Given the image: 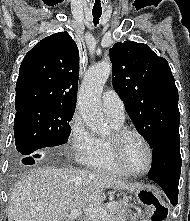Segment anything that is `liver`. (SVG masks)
Segmentation results:
<instances>
[{"label": "liver", "instance_id": "obj_1", "mask_svg": "<svg viewBox=\"0 0 190 221\" xmlns=\"http://www.w3.org/2000/svg\"><path fill=\"white\" fill-rule=\"evenodd\" d=\"M116 176L57 167L34 168L20 178L9 197L8 221H72L71 210L101 207L105 190H133Z\"/></svg>", "mask_w": 190, "mask_h": 221}]
</instances>
